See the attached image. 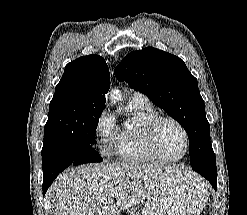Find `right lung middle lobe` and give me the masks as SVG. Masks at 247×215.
Returning <instances> with one entry per match:
<instances>
[{"label": "right lung middle lobe", "mask_w": 247, "mask_h": 215, "mask_svg": "<svg viewBox=\"0 0 247 215\" xmlns=\"http://www.w3.org/2000/svg\"><path fill=\"white\" fill-rule=\"evenodd\" d=\"M103 109V103L82 99L69 90L55 92L44 128L43 149L63 140L96 144L95 130Z\"/></svg>", "instance_id": "dd1d6c3e"}]
</instances>
